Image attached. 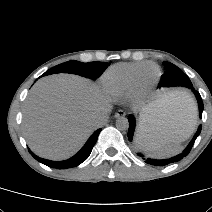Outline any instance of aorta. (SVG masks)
Returning a JSON list of instances; mask_svg holds the SVG:
<instances>
[{"label": "aorta", "mask_w": 212, "mask_h": 212, "mask_svg": "<svg viewBox=\"0 0 212 212\" xmlns=\"http://www.w3.org/2000/svg\"><path fill=\"white\" fill-rule=\"evenodd\" d=\"M116 127H117V129L122 130V131L127 130L129 128L128 119L125 117H119L116 120Z\"/></svg>", "instance_id": "obj_1"}]
</instances>
